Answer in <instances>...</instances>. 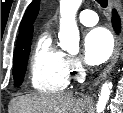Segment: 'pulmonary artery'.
Wrapping results in <instances>:
<instances>
[{"label": "pulmonary artery", "mask_w": 123, "mask_h": 113, "mask_svg": "<svg viewBox=\"0 0 123 113\" xmlns=\"http://www.w3.org/2000/svg\"><path fill=\"white\" fill-rule=\"evenodd\" d=\"M78 20L85 26H94L98 22V16L92 10H82L78 14Z\"/></svg>", "instance_id": "1"}]
</instances>
